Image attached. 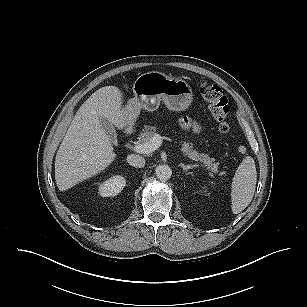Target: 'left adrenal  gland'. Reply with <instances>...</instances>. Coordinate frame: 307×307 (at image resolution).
I'll return each mask as SVG.
<instances>
[{"mask_svg":"<svg viewBox=\"0 0 307 307\" xmlns=\"http://www.w3.org/2000/svg\"><path fill=\"white\" fill-rule=\"evenodd\" d=\"M179 166L183 168L184 172H187L189 169H193L194 167H196V165H184L182 163H180Z\"/></svg>","mask_w":307,"mask_h":307,"instance_id":"1","label":"left adrenal gland"}]
</instances>
